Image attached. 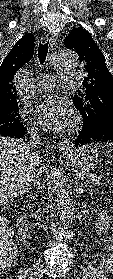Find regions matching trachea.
Returning <instances> with one entry per match:
<instances>
[{
    "instance_id": "obj_1",
    "label": "trachea",
    "mask_w": 113,
    "mask_h": 279,
    "mask_svg": "<svg viewBox=\"0 0 113 279\" xmlns=\"http://www.w3.org/2000/svg\"><path fill=\"white\" fill-rule=\"evenodd\" d=\"M48 45L49 42L47 43H39V47H38V58L41 64L44 63L46 57H47V53H48Z\"/></svg>"
}]
</instances>
